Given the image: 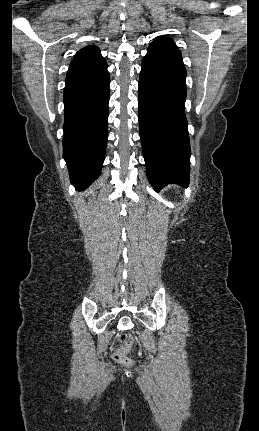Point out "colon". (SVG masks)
<instances>
[{
	"label": "colon",
	"instance_id": "obj_1",
	"mask_svg": "<svg viewBox=\"0 0 259 431\" xmlns=\"http://www.w3.org/2000/svg\"><path fill=\"white\" fill-rule=\"evenodd\" d=\"M133 337L129 333L120 336V346L114 353V359L126 366L132 365L133 361L128 357V353L133 345Z\"/></svg>",
	"mask_w": 259,
	"mask_h": 431
}]
</instances>
